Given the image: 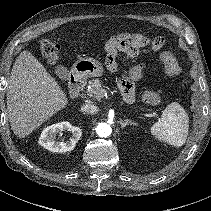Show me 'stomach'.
Returning a JSON list of instances; mask_svg holds the SVG:
<instances>
[{
	"mask_svg": "<svg viewBox=\"0 0 211 211\" xmlns=\"http://www.w3.org/2000/svg\"><path fill=\"white\" fill-rule=\"evenodd\" d=\"M72 72L80 78L100 77L103 75L104 67L93 58H81L73 65Z\"/></svg>",
	"mask_w": 211,
	"mask_h": 211,
	"instance_id": "1",
	"label": "stomach"
}]
</instances>
